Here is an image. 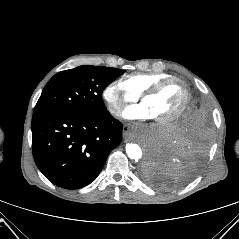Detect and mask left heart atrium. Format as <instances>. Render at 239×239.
Listing matches in <instances>:
<instances>
[{
    "mask_svg": "<svg viewBox=\"0 0 239 239\" xmlns=\"http://www.w3.org/2000/svg\"><path fill=\"white\" fill-rule=\"evenodd\" d=\"M123 117L129 120L153 119L148 108L143 102L127 107L123 112Z\"/></svg>",
    "mask_w": 239,
    "mask_h": 239,
    "instance_id": "obj_1",
    "label": "left heart atrium"
}]
</instances>
